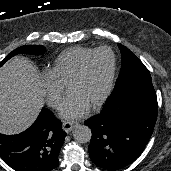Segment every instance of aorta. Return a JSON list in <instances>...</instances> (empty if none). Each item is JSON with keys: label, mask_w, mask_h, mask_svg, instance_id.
Instances as JSON below:
<instances>
[{"label": "aorta", "mask_w": 171, "mask_h": 171, "mask_svg": "<svg viewBox=\"0 0 171 171\" xmlns=\"http://www.w3.org/2000/svg\"><path fill=\"white\" fill-rule=\"evenodd\" d=\"M91 129L86 125H77L73 130V137L78 143H87L91 140Z\"/></svg>", "instance_id": "aorta-1"}]
</instances>
